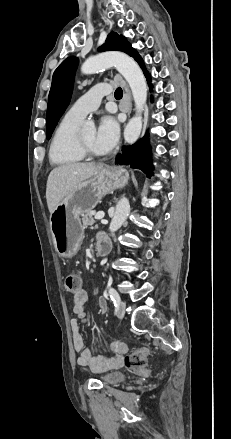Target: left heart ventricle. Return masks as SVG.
Listing matches in <instances>:
<instances>
[{
	"label": "left heart ventricle",
	"mask_w": 231,
	"mask_h": 439,
	"mask_svg": "<svg viewBox=\"0 0 231 439\" xmlns=\"http://www.w3.org/2000/svg\"><path fill=\"white\" fill-rule=\"evenodd\" d=\"M81 135H82L84 142L88 145L89 148H91L93 151H95L97 153H102L95 143V130L94 129L82 130Z\"/></svg>",
	"instance_id": "b2bd125f"
}]
</instances>
